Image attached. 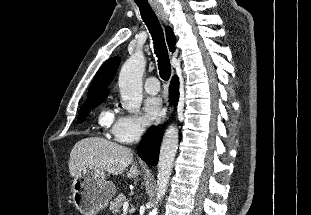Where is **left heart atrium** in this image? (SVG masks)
Wrapping results in <instances>:
<instances>
[{"mask_svg": "<svg viewBox=\"0 0 311 215\" xmlns=\"http://www.w3.org/2000/svg\"><path fill=\"white\" fill-rule=\"evenodd\" d=\"M162 113V101L159 97H149L143 105V122L145 125L150 124L158 119Z\"/></svg>", "mask_w": 311, "mask_h": 215, "instance_id": "1", "label": "left heart atrium"}]
</instances>
